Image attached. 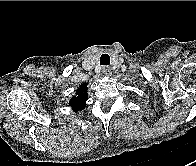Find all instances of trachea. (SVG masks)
<instances>
[{
  "label": "trachea",
  "instance_id": "obj_1",
  "mask_svg": "<svg viewBox=\"0 0 196 166\" xmlns=\"http://www.w3.org/2000/svg\"><path fill=\"white\" fill-rule=\"evenodd\" d=\"M101 65H109L110 64V56L108 54H102L100 57Z\"/></svg>",
  "mask_w": 196,
  "mask_h": 166
}]
</instances>
